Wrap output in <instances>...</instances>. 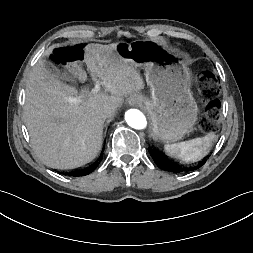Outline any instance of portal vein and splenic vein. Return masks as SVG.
Returning a JSON list of instances; mask_svg holds the SVG:
<instances>
[{"label":"portal vein and splenic vein","instance_id":"obj_1","mask_svg":"<svg viewBox=\"0 0 253 253\" xmlns=\"http://www.w3.org/2000/svg\"><path fill=\"white\" fill-rule=\"evenodd\" d=\"M100 87H101V82H99V81H97L96 79H95V87L92 89V93H97V92H99L100 91ZM76 101H81V99L80 98H78V99H75Z\"/></svg>","mask_w":253,"mask_h":253}]
</instances>
